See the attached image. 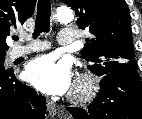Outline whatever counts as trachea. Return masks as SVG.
Returning a JSON list of instances; mask_svg holds the SVG:
<instances>
[{
    "label": "trachea",
    "mask_w": 142,
    "mask_h": 119,
    "mask_svg": "<svg viewBox=\"0 0 142 119\" xmlns=\"http://www.w3.org/2000/svg\"><path fill=\"white\" fill-rule=\"evenodd\" d=\"M50 16H51L50 0H39L37 6L35 31L33 33V36L35 38L42 32H49ZM13 39L17 41L19 38L18 36H14Z\"/></svg>",
    "instance_id": "trachea-1"
}]
</instances>
